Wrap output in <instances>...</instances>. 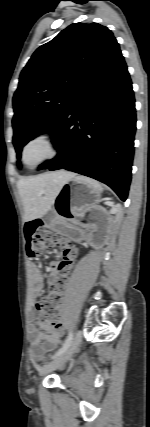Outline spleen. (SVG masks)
I'll use <instances>...</instances> for the list:
<instances>
[{"label":"spleen","instance_id":"1","mask_svg":"<svg viewBox=\"0 0 150 427\" xmlns=\"http://www.w3.org/2000/svg\"><path fill=\"white\" fill-rule=\"evenodd\" d=\"M78 179H80V180H82V181H84L85 183H87V184H89V185H91L93 188H95L98 192H102L103 191V186L100 184V183H98L97 181H95V180H92V179H90V178H86V177H81V176H79V177H77Z\"/></svg>","mask_w":150,"mask_h":427}]
</instances>
